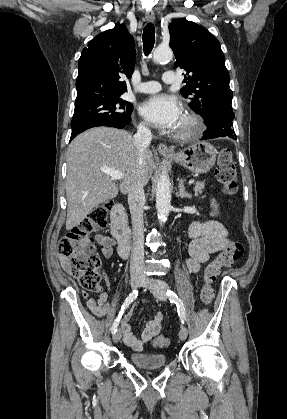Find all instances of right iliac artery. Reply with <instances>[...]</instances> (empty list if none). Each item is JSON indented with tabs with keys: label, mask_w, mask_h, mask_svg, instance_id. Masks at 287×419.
<instances>
[{
	"label": "right iliac artery",
	"mask_w": 287,
	"mask_h": 419,
	"mask_svg": "<svg viewBox=\"0 0 287 419\" xmlns=\"http://www.w3.org/2000/svg\"><path fill=\"white\" fill-rule=\"evenodd\" d=\"M138 295V291L135 289L133 290L129 296L126 298L125 302L123 303L121 310L119 312L118 317L115 319L112 328H111V332L115 333L117 331V327L119 325V321L124 313V310H126V308H128V306L137 298Z\"/></svg>",
	"instance_id": "obj_1"
}]
</instances>
